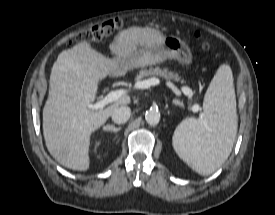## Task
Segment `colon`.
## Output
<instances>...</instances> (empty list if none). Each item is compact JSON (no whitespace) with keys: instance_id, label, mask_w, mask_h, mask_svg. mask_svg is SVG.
I'll use <instances>...</instances> for the list:
<instances>
[{"instance_id":"obj_1","label":"colon","mask_w":275,"mask_h":215,"mask_svg":"<svg viewBox=\"0 0 275 215\" xmlns=\"http://www.w3.org/2000/svg\"><path fill=\"white\" fill-rule=\"evenodd\" d=\"M126 24V19L121 17L112 18L101 24L93 26L92 28L81 32L75 38L77 42H99L107 37L112 36L117 31L122 29ZM203 48H209L207 42L203 43Z\"/></svg>"}]
</instances>
